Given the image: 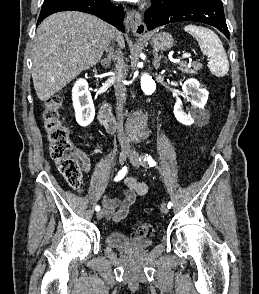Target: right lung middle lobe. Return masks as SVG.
<instances>
[{
	"label": "right lung middle lobe",
	"mask_w": 259,
	"mask_h": 294,
	"mask_svg": "<svg viewBox=\"0 0 259 294\" xmlns=\"http://www.w3.org/2000/svg\"><path fill=\"white\" fill-rule=\"evenodd\" d=\"M50 1H52V0H44L43 4H46V3L50 2Z\"/></svg>",
	"instance_id": "dd1d6c3e"
}]
</instances>
